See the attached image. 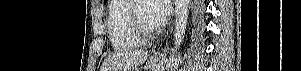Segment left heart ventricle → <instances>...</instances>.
<instances>
[{
  "label": "left heart ventricle",
  "mask_w": 301,
  "mask_h": 71,
  "mask_svg": "<svg viewBox=\"0 0 301 71\" xmlns=\"http://www.w3.org/2000/svg\"><path fill=\"white\" fill-rule=\"evenodd\" d=\"M137 15L141 23L148 29H156L151 16L150 4L147 1H141L137 4Z\"/></svg>",
  "instance_id": "b2bd125f"
}]
</instances>
